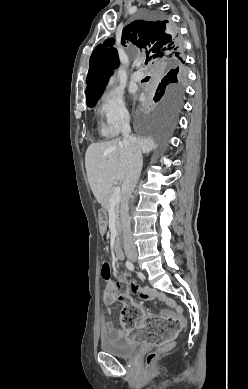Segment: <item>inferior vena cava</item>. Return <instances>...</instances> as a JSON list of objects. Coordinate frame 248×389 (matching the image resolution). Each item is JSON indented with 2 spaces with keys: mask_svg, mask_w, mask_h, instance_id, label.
Here are the masks:
<instances>
[{
  "mask_svg": "<svg viewBox=\"0 0 248 389\" xmlns=\"http://www.w3.org/2000/svg\"><path fill=\"white\" fill-rule=\"evenodd\" d=\"M130 133L131 127L129 120H127L122 127V142L128 155L129 169L123 181L120 218L122 224L124 250L125 252H136V247L131 233L129 199L138 183L143 166V159L139 143L136 138L130 135Z\"/></svg>",
  "mask_w": 248,
  "mask_h": 389,
  "instance_id": "1",
  "label": "inferior vena cava"
}]
</instances>
